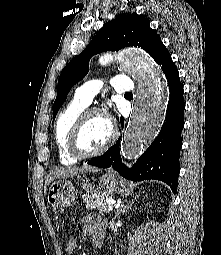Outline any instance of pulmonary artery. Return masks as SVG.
I'll use <instances>...</instances> for the list:
<instances>
[{"instance_id":"1","label":"pulmonary artery","mask_w":221,"mask_h":255,"mask_svg":"<svg viewBox=\"0 0 221 255\" xmlns=\"http://www.w3.org/2000/svg\"><path fill=\"white\" fill-rule=\"evenodd\" d=\"M114 89L118 93H132L134 90V83L132 80L125 74H117L111 79ZM102 81L98 79L89 80L79 86L73 95V102L82 105L88 106L93 98L101 91Z\"/></svg>"}]
</instances>
